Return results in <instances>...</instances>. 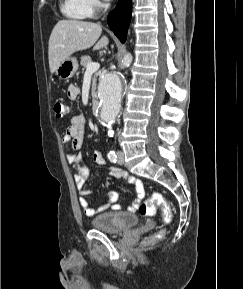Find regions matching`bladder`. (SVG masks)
<instances>
[{"instance_id":"obj_1","label":"bladder","mask_w":243,"mask_h":289,"mask_svg":"<svg viewBox=\"0 0 243 289\" xmlns=\"http://www.w3.org/2000/svg\"><path fill=\"white\" fill-rule=\"evenodd\" d=\"M138 223L139 219L135 214L121 211L100 213L91 220L95 229L108 233H121L137 226Z\"/></svg>"}]
</instances>
